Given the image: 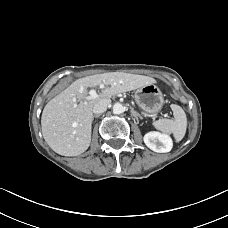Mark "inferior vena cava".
Wrapping results in <instances>:
<instances>
[{
  "label": "inferior vena cava",
  "instance_id": "inferior-vena-cava-1",
  "mask_svg": "<svg viewBox=\"0 0 228 228\" xmlns=\"http://www.w3.org/2000/svg\"><path fill=\"white\" fill-rule=\"evenodd\" d=\"M110 101L101 100L98 101L93 107V113L101 114L107 110V106L109 105Z\"/></svg>",
  "mask_w": 228,
  "mask_h": 228
}]
</instances>
